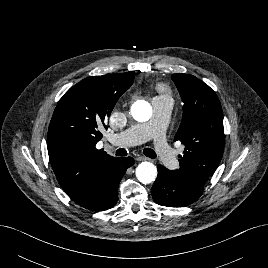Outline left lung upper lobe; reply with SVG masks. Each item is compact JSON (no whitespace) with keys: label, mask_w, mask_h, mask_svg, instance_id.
Listing matches in <instances>:
<instances>
[{"label":"left lung upper lobe","mask_w":268,"mask_h":268,"mask_svg":"<svg viewBox=\"0 0 268 268\" xmlns=\"http://www.w3.org/2000/svg\"><path fill=\"white\" fill-rule=\"evenodd\" d=\"M181 95L183 117L174 138L185 146L174 173L189 185L204 190L224 151L223 114L216 93L190 74H173Z\"/></svg>","instance_id":"left-lung-upper-lobe-1"}]
</instances>
